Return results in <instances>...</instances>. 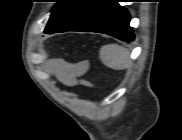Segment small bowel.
Instances as JSON below:
<instances>
[{
	"mask_svg": "<svg viewBox=\"0 0 182 140\" xmlns=\"http://www.w3.org/2000/svg\"><path fill=\"white\" fill-rule=\"evenodd\" d=\"M87 68V63L76 65L57 74V79L68 86L76 85L79 83V78L87 71ZM81 84L89 86L87 82L81 81Z\"/></svg>",
	"mask_w": 182,
	"mask_h": 140,
	"instance_id": "1",
	"label": "small bowel"
}]
</instances>
